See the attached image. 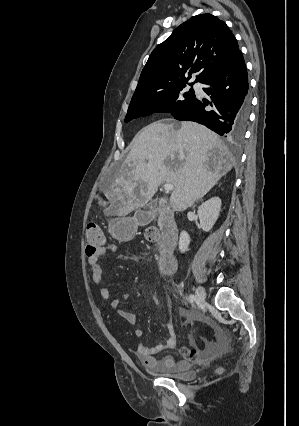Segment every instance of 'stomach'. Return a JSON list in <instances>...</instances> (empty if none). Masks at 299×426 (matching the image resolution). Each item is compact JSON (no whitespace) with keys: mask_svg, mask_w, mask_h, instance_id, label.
<instances>
[{"mask_svg":"<svg viewBox=\"0 0 299 426\" xmlns=\"http://www.w3.org/2000/svg\"><path fill=\"white\" fill-rule=\"evenodd\" d=\"M133 231L134 226L126 218H115L109 222V232L115 238L128 239Z\"/></svg>","mask_w":299,"mask_h":426,"instance_id":"1","label":"stomach"}]
</instances>
